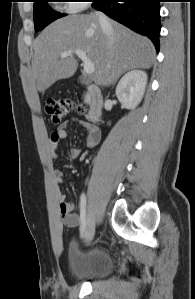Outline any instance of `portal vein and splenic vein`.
<instances>
[{
  "mask_svg": "<svg viewBox=\"0 0 195 299\" xmlns=\"http://www.w3.org/2000/svg\"><path fill=\"white\" fill-rule=\"evenodd\" d=\"M75 55H77L84 64V72L87 75H92L94 73L95 67L94 63L87 57L86 53L82 50L74 51ZM72 54V51H66L61 53V57L65 58Z\"/></svg>",
  "mask_w": 195,
  "mask_h": 299,
  "instance_id": "1",
  "label": "portal vein and splenic vein"
}]
</instances>
